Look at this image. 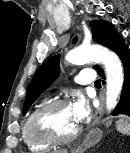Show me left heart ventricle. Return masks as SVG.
Listing matches in <instances>:
<instances>
[{
    "label": "left heart ventricle",
    "mask_w": 130,
    "mask_h": 153,
    "mask_svg": "<svg viewBox=\"0 0 130 153\" xmlns=\"http://www.w3.org/2000/svg\"><path fill=\"white\" fill-rule=\"evenodd\" d=\"M42 125L59 136H67L76 129L78 123L74 119L71 105H68L47 114L42 120Z\"/></svg>",
    "instance_id": "b2bd125f"
}]
</instances>
